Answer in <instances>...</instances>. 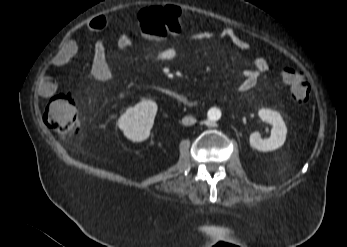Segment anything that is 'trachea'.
<instances>
[{"instance_id": "trachea-1", "label": "trachea", "mask_w": 347, "mask_h": 247, "mask_svg": "<svg viewBox=\"0 0 347 247\" xmlns=\"http://www.w3.org/2000/svg\"><path fill=\"white\" fill-rule=\"evenodd\" d=\"M221 247H232V245H230V244H222V245H220Z\"/></svg>"}]
</instances>
